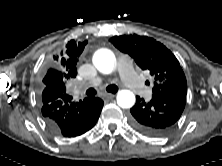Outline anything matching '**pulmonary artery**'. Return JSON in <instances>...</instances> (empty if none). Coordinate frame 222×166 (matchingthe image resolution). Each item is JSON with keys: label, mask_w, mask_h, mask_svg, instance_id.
<instances>
[{"label": "pulmonary artery", "mask_w": 222, "mask_h": 166, "mask_svg": "<svg viewBox=\"0 0 222 166\" xmlns=\"http://www.w3.org/2000/svg\"><path fill=\"white\" fill-rule=\"evenodd\" d=\"M118 70L123 83L127 87L137 93H141L144 95L148 93L147 87L141 82V79L139 78L133 67L132 60L129 57L123 56L119 59ZM101 81V78L97 77L92 79L89 84L96 86L99 85ZM84 87V84L79 85L78 90H82Z\"/></svg>", "instance_id": "pulmonary-artery-1"}]
</instances>
